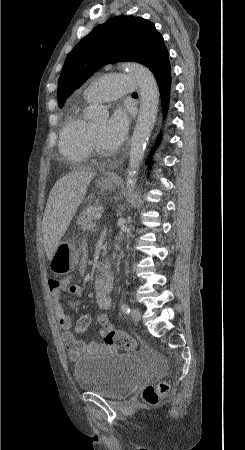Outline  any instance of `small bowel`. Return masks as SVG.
<instances>
[{
    "label": "small bowel",
    "mask_w": 245,
    "mask_h": 450,
    "mask_svg": "<svg viewBox=\"0 0 245 450\" xmlns=\"http://www.w3.org/2000/svg\"><path fill=\"white\" fill-rule=\"evenodd\" d=\"M81 270V269H80ZM112 272L101 273L95 280L94 291L96 295V307L100 310H108L112 306V291L114 288ZM67 290L74 297H84L86 291L78 286L71 284V279L66 278L62 285L58 288L50 287L51 306L55 314L56 320L62 329V339L68 350L69 359L72 362L77 361L82 355L94 354L98 350H108L110 347L105 343H97L94 340L84 341L77 339L72 333V326L69 316L66 314L61 293ZM71 306H75V302H70ZM104 330H99L102 336Z\"/></svg>",
    "instance_id": "c3829d8e"
}]
</instances>
